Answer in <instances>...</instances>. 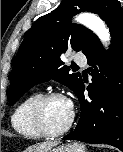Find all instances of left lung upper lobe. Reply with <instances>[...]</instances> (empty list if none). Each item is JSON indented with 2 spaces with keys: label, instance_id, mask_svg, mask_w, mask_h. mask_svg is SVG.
I'll return each instance as SVG.
<instances>
[{
  "label": "left lung upper lobe",
  "instance_id": "5c2ea615",
  "mask_svg": "<svg viewBox=\"0 0 123 152\" xmlns=\"http://www.w3.org/2000/svg\"><path fill=\"white\" fill-rule=\"evenodd\" d=\"M120 6L118 0H62L52 12L40 17L28 30L15 57L8 99L14 104L34 85L54 79L74 93L82 82L77 73L63 66L60 56L67 49L86 54L98 39L82 25L70 24L73 15L81 11L98 14L106 21Z\"/></svg>",
  "mask_w": 123,
  "mask_h": 152
}]
</instances>
